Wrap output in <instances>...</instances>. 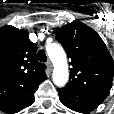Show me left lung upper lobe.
I'll return each instance as SVG.
<instances>
[{"mask_svg":"<svg viewBox=\"0 0 114 114\" xmlns=\"http://www.w3.org/2000/svg\"><path fill=\"white\" fill-rule=\"evenodd\" d=\"M54 32L71 59L65 88L105 98L112 86L114 62L101 37L77 20Z\"/></svg>","mask_w":114,"mask_h":114,"instance_id":"5c2ea615","label":"left lung upper lobe"}]
</instances>
